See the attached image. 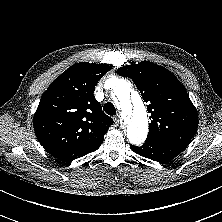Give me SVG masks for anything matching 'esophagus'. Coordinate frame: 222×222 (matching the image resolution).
<instances>
[{"instance_id":"esophagus-1","label":"esophagus","mask_w":222,"mask_h":222,"mask_svg":"<svg viewBox=\"0 0 222 222\" xmlns=\"http://www.w3.org/2000/svg\"><path fill=\"white\" fill-rule=\"evenodd\" d=\"M113 119H114L115 124L119 125V123H120V116L116 115Z\"/></svg>"}]
</instances>
